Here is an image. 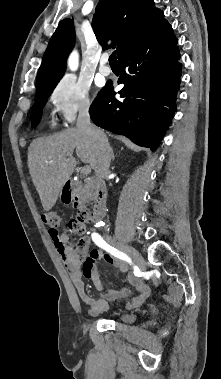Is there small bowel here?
I'll return each instance as SVG.
<instances>
[{
    "instance_id": "c3829d8e",
    "label": "small bowel",
    "mask_w": 221,
    "mask_h": 379,
    "mask_svg": "<svg viewBox=\"0 0 221 379\" xmlns=\"http://www.w3.org/2000/svg\"><path fill=\"white\" fill-rule=\"evenodd\" d=\"M50 236L58 252L65 261V266L68 270L70 279L75 286L80 299L88 306L90 314L97 315L105 312L109 308V302L126 298L130 294L129 289L126 286L122 287L120 291H115L106 288L101 283L98 268L102 262L107 265L115 266L122 273L126 274V281L133 285L139 292V295L127 304L128 308H134L141 305L150 295L149 287L142 283L133 273L129 271V267L126 263L105 254L101 249H94L90 253H86V257L84 259L85 264H81L79 256L66 234L57 233L54 235L50 234ZM83 276L85 278V282L94 283L96 289L100 292V298H92L87 293Z\"/></svg>"
}]
</instances>
